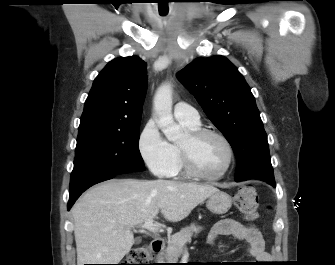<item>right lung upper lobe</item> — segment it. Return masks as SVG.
Wrapping results in <instances>:
<instances>
[{
    "label": "right lung upper lobe",
    "mask_w": 335,
    "mask_h": 265,
    "mask_svg": "<svg viewBox=\"0 0 335 265\" xmlns=\"http://www.w3.org/2000/svg\"><path fill=\"white\" fill-rule=\"evenodd\" d=\"M146 63L137 56L110 61L93 82L79 131L121 128L141 121Z\"/></svg>",
    "instance_id": "1"
}]
</instances>
